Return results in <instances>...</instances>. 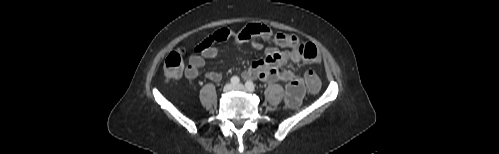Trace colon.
Wrapping results in <instances>:
<instances>
[{"label":"colon","instance_id":"5ec220e1","mask_svg":"<svg viewBox=\"0 0 499 154\" xmlns=\"http://www.w3.org/2000/svg\"><path fill=\"white\" fill-rule=\"evenodd\" d=\"M185 50L183 48L176 49L171 52L164 62V77L167 81L176 79L181 76L184 67ZM305 87L311 93H317L320 90L321 82L316 72L309 70L304 74L303 79Z\"/></svg>","mask_w":499,"mask_h":154}]
</instances>
